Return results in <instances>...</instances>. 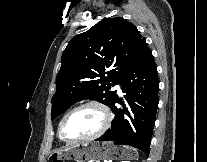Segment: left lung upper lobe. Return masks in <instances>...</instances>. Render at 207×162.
Returning <instances> with one entry per match:
<instances>
[{"instance_id":"obj_1","label":"left lung upper lobe","mask_w":207,"mask_h":162,"mask_svg":"<svg viewBox=\"0 0 207 162\" xmlns=\"http://www.w3.org/2000/svg\"><path fill=\"white\" fill-rule=\"evenodd\" d=\"M148 50L137 28L122 17L104 19L73 37L56 77L51 119L85 98L111 107L117 96L111 86L120 83Z\"/></svg>"}]
</instances>
